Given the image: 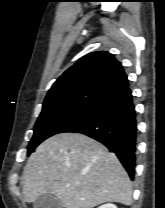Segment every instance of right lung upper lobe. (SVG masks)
I'll return each mask as SVG.
<instances>
[{
	"label": "right lung upper lobe",
	"instance_id": "cb5924a9",
	"mask_svg": "<svg viewBox=\"0 0 165 208\" xmlns=\"http://www.w3.org/2000/svg\"><path fill=\"white\" fill-rule=\"evenodd\" d=\"M128 86L120 62L106 51L92 52L57 79L47 93L43 107L63 103L97 104Z\"/></svg>",
	"mask_w": 165,
	"mask_h": 208
}]
</instances>
